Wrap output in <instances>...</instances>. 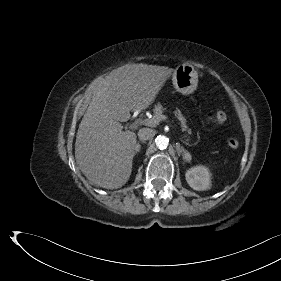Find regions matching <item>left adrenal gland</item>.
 <instances>
[{
	"mask_svg": "<svg viewBox=\"0 0 281 281\" xmlns=\"http://www.w3.org/2000/svg\"><path fill=\"white\" fill-rule=\"evenodd\" d=\"M176 150L179 156L182 154L184 160L188 158L189 152L181 147L180 144H176Z\"/></svg>",
	"mask_w": 281,
	"mask_h": 281,
	"instance_id": "obj_1",
	"label": "left adrenal gland"
}]
</instances>
